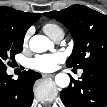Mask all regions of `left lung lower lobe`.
I'll return each mask as SVG.
<instances>
[{"mask_svg":"<svg viewBox=\"0 0 107 107\" xmlns=\"http://www.w3.org/2000/svg\"><path fill=\"white\" fill-rule=\"evenodd\" d=\"M80 81L71 79V84L60 92L66 107L107 106V65H92L82 68Z\"/></svg>","mask_w":107,"mask_h":107,"instance_id":"1","label":"left lung lower lobe"}]
</instances>
